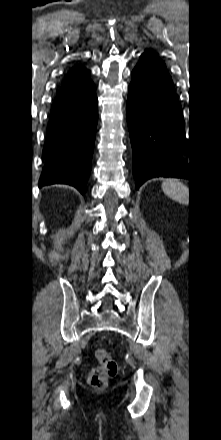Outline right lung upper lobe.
I'll return each instance as SVG.
<instances>
[{
	"label": "right lung upper lobe",
	"mask_w": 221,
	"mask_h": 440,
	"mask_svg": "<svg viewBox=\"0 0 221 440\" xmlns=\"http://www.w3.org/2000/svg\"><path fill=\"white\" fill-rule=\"evenodd\" d=\"M89 78V72L83 67H76L65 78L62 86L79 83Z\"/></svg>",
	"instance_id": "right-lung-upper-lobe-1"
}]
</instances>
